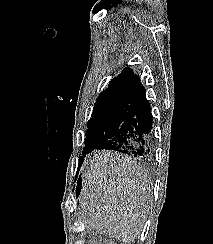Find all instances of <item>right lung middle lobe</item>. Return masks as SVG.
<instances>
[{
  "label": "right lung middle lobe",
  "mask_w": 213,
  "mask_h": 244,
  "mask_svg": "<svg viewBox=\"0 0 213 244\" xmlns=\"http://www.w3.org/2000/svg\"><path fill=\"white\" fill-rule=\"evenodd\" d=\"M136 97L114 96L98 99L87 124L83 153L114 137L122 123L131 117Z\"/></svg>",
  "instance_id": "dd1d6c3e"
}]
</instances>
